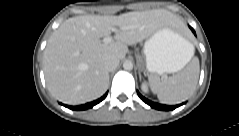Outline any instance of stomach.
Segmentation results:
<instances>
[{
	"label": "stomach",
	"instance_id": "0dacf381",
	"mask_svg": "<svg viewBox=\"0 0 239 136\" xmlns=\"http://www.w3.org/2000/svg\"><path fill=\"white\" fill-rule=\"evenodd\" d=\"M191 47L192 44L178 27L164 26L158 29L144 44L147 70L154 75L181 70L189 61Z\"/></svg>",
	"mask_w": 239,
	"mask_h": 136
}]
</instances>
